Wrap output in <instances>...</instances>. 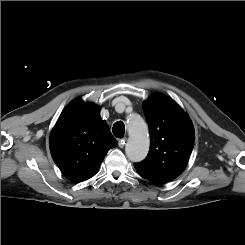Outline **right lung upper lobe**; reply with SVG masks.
<instances>
[{
  "mask_svg": "<svg viewBox=\"0 0 245 245\" xmlns=\"http://www.w3.org/2000/svg\"><path fill=\"white\" fill-rule=\"evenodd\" d=\"M99 113L98 105L76 99L64 108L51 132L52 158L73 182L93 177L107 152L117 145Z\"/></svg>",
  "mask_w": 245,
  "mask_h": 245,
  "instance_id": "right-lung-upper-lobe-1",
  "label": "right lung upper lobe"
}]
</instances>
